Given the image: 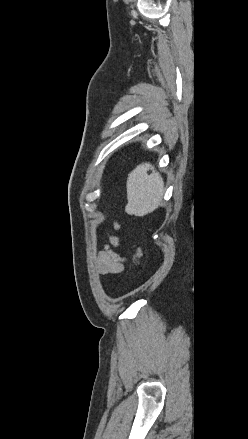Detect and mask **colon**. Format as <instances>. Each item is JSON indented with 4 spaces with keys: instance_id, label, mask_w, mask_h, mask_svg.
<instances>
[{
    "instance_id": "5ec220e1",
    "label": "colon",
    "mask_w": 248,
    "mask_h": 439,
    "mask_svg": "<svg viewBox=\"0 0 248 439\" xmlns=\"http://www.w3.org/2000/svg\"><path fill=\"white\" fill-rule=\"evenodd\" d=\"M141 258H142V250L139 246H136L134 253V264L136 267L139 266Z\"/></svg>"
}]
</instances>
